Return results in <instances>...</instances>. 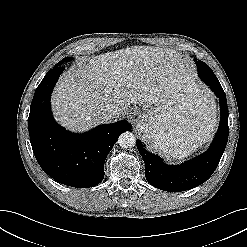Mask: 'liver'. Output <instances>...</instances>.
<instances>
[{
	"label": "liver",
	"instance_id": "1",
	"mask_svg": "<svg viewBox=\"0 0 247 247\" xmlns=\"http://www.w3.org/2000/svg\"><path fill=\"white\" fill-rule=\"evenodd\" d=\"M183 68L173 50L151 46L93 56L87 64L71 67L58 81L52 95L54 115L71 131H87L107 122L101 113L107 104L116 106L119 115L131 104L152 107Z\"/></svg>",
	"mask_w": 247,
	"mask_h": 247
}]
</instances>
